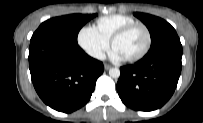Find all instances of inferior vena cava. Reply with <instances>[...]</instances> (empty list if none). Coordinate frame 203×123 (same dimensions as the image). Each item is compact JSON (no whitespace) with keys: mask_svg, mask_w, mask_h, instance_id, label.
I'll list each match as a JSON object with an SVG mask.
<instances>
[{"mask_svg":"<svg viewBox=\"0 0 203 123\" xmlns=\"http://www.w3.org/2000/svg\"><path fill=\"white\" fill-rule=\"evenodd\" d=\"M92 56L94 58L99 59V60H104L106 58V55L103 52H101V51H95V52H93Z\"/></svg>","mask_w":203,"mask_h":123,"instance_id":"1","label":"inferior vena cava"}]
</instances>
